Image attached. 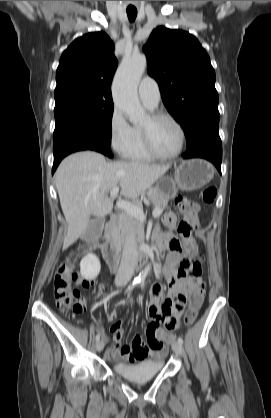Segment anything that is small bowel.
<instances>
[{
  "mask_svg": "<svg viewBox=\"0 0 271 418\" xmlns=\"http://www.w3.org/2000/svg\"><path fill=\"white\" fill-rule=\"evenodd\" d=\"M166 224L173 226L174 218L168 216ZM180 256L179 252L171 251L162 269L168 284L167 296L164 297L163 288L160 284H154L151 289V299L147 309L150 322L146 330V341L139 336H134L131 345H122L121 341L124 333L121 328V321L117 319L115 313L109 315L108 319L112 323L113 344L106 351L107 359H120L125 362L138 363L148 359H160L165 355L164 342L169 337L167 330L171 331L178 327L180 316L184 310L185 303L180 304L179 300L186 302V297L190 293H195L202 282L200 277H186L179 274L177 265ZM77 284L87 288L92 282L79 280ZM94 295L97 296V293Z\"/></svg>",
  "mask_w": 271,
  "mask_h": 418,
  "instance_id": "c3829d8e",
  "label": "small bowel"
}]
</instances>
